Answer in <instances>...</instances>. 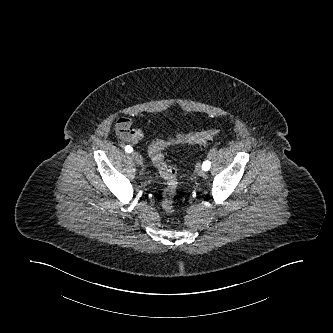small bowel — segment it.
<instances>
[{"label": "small bowel", "mask_w": 333, "mask_h": 333, "mask_svg": "<svg viewBox=\"0 0 333 333\" xmlns=\"http://www.w3.org/2000/svg\"><path fill=\"white\" fill-rule=\"evenodd\" d=\"M133 120L131 118H120L115 124V130L118 138L127 143H137L144 136L143 132L132 128Z\"/></svg>", "instance_id": "1"}]
</instances>
